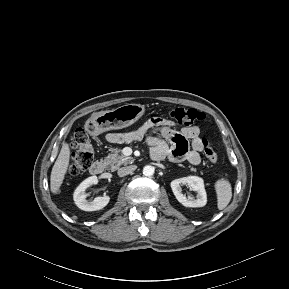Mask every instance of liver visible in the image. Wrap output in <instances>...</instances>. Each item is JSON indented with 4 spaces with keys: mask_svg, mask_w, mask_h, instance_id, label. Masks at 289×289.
<instances>
[{
    "mask_svg": "<svg viewBox=\"0 0 289 289\" xmlns=\"http://www.w3.org/2000/svg\"><path fill=\"white\" fill-rule=\"evenodd\" d=\"M100 113L103 112H94L91 116H95ZM69 161H70V148L69 145L66 142H64L51 171L50 189L53 194H57L60 191V187L68 171Z\"/></svg>",
    "mask_w": 289,
    "mask_h": 289,
    "instance_id": "obj_1",
    "label": "liver"
}]
</instances>
